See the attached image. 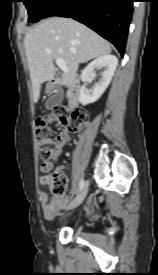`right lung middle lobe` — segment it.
<instances>
[{"label": "right lung middle lobe", "mask_w": 158, "mask_h": 275, "mask_svg": "<svg viewBox=\"0 0 158 275\" xmlns=\"http://www.w3.org/2000/svg\"><path fill=\"white\" fill-rule=\"evenodd\" d=\"M58 0H24V4L28 9L29 21L38 22L46 12L57 2Z\"/></svg>", "instance_id": "1"}]
</instances>
